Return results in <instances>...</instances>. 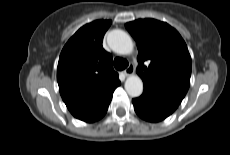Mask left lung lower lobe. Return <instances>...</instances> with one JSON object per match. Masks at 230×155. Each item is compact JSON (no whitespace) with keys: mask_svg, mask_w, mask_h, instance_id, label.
I'll return each instance as SVG.
<instances>
[{"mask_svg":"<svg viewBox=\"0 0 230 155\" xmlns=\"http://www.w3.org/2000/svg\"><path fill=\"white\" fill-rule=\"evenodd\" d=\"M137 115L148 122H159L171 115L179 103L144 87L143 94L132 100Z\"/></svg>","mask_w":230,"mask_h":155,"instance_id":"0a47b994","label":"left lung lower lobe"}]
</instances>
